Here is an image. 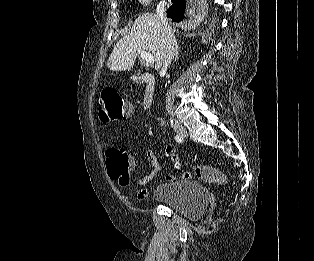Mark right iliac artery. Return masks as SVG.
<instances>
[{"mask_svg": "<svg viewBox=\"0 0 314 261\" xmlns=\"http://www.w3.org/2000/svg\"><path fill=\"white\" fill-rule=\"evenodd\" d=\"M175 140L178 142V143H181L183 141L182 137L179 136V135H176L175 136Z\"/></svg>", "mask_w": 314, "mask_h": 261, "instance_id": "right-iliac-artery-1", "label": "right iliac artery"}]
</instances>
